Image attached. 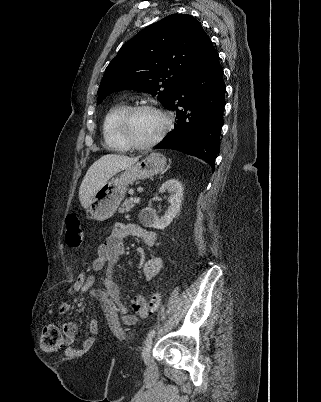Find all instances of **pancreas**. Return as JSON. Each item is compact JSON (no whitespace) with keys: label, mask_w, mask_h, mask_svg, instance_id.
I'll list each match as a JSON object with an SVG mask.
<instances>
[{"label":"pancreas","mask_w":321,"mask_h":402,"mask_svg":"<svg viewBox=\"0 0 321 402\" xmlns=\"http://www.w3.org/2000/svg\"><path fill=\"white\" fill-rule=\"evenodd\" d=\"M135 207V202L133 198H129L123 202L121 207L118 209L119 213L130 212Z\"/></svg>","instance_id":"obj_1"}]
</instances>
